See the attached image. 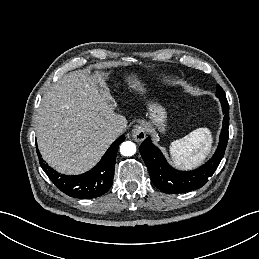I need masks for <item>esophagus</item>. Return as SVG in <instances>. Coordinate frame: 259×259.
<instances>
[{
    "instance_id": "34e87169",
    "label": "esophagus",
    "mask_w": 259,
    "mask_h": 259,
    "mask_svg": "<svg viewBox=\"0 0 259 259\" xmlns=\"http://www.w3.org/2000/svg\"><path fill=\"white\" fill-rule=\"evenodd\" d=\"M132 138L137 141L141 142L146 137V126L143 123L137 124L131 131Z\"/></svg>"
}]
</instances>
